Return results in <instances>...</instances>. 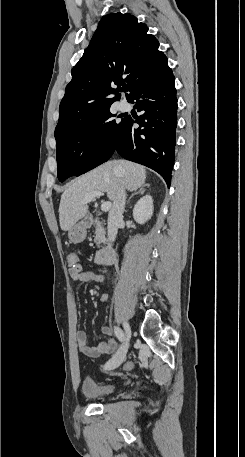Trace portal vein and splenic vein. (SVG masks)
<instances>
[{"mask_svg":"<svg viewBox=\"0 0 245 457\" xmlns=\"http://www.w3.org/2000/svg\"><path fill=\"white\" fill-rule=\"evenodd\" d=\"M101 194H104V192H101V190H93V192H89V194H86L85 198H83L81 202H91V200H94L95 196H101ZM111 206L112 202H110V200H107V202H102L101 210H109Z\"/></svg>","mask_w":245,"mask_h":457,"instance_id":"obj_1","label":"portal vein and splenic vein"}]
</instances>
